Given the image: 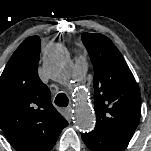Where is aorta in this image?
Returning <instances> with one entry per match:
<instances>
[{"mask_svg": "<svg viewBox=\"0 0 151 151\" xmlns=\"http://www.w3.org/2000/svg\"><path fill=\"white\" fill-rule=\"evenodd\" d=\"M46 64L53 75L63 81L74 79L69 68L67 54L60 45H53L46 54ZM74 117L77 127L84 132L92 130L95 124L94 112L83 91L78 90L74 96Z\"/></svg>", "mask_w": 151, "mask_h": 151, "instance_id": "aorta-1", "label": "aorta"}]
</instances>
